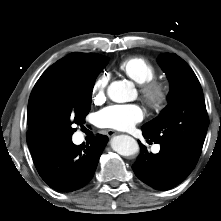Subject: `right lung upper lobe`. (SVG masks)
<instances>
[{"mask_svg":"<svg viewBox=\"0 0 221 221\" xmlns=\"http://www.w3.org/2000/svg\"><path fill=\"white\" fill-rule=\"evenodd\" d=\"M103 55L100 54H93V53H70L66 57L58 60L52 66H50L39 78L37 83L35 84L30 98L28 102V107L30 106L31 102L34 98L42 92L45 87L59 77L61 74L65 73L68 70H71L81 64L90 62L94 59H98Z\"/></svg>","mask_w":221,"mask_h":221,"instance_id":"right-lung-upper-lobe-1","label":"right lung upper lobe"}]
</instances>
